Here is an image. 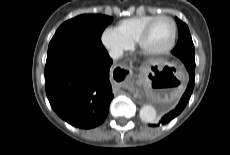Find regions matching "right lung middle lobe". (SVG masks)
Returning <instances> with one entry per match:
<instances>
[{"instance_id": "obj_1", "label": "right lung middle lobe", "mask_w": 230, "mask_h": 155, "mask_svg": "<svg viewBox=\"0 0 230 155\" xmlns=\"http://www.w3.org/2000/svg\"><path fill=\"white\" fill-rule=\"evenodd\" d=\"M112 20L105 15L85 14L64 22L50 41L47 60L64 54L105 52L101 34Z\"/></svg>"}]
</instances>
